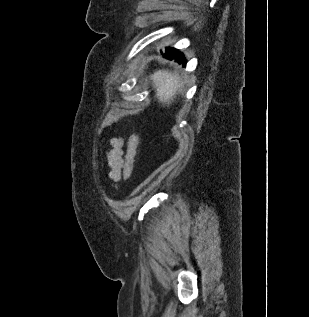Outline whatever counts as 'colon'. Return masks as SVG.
I'll return each instance as SVG.
<instances>
[{"label": "colon", "mask_w": 309, "mask_h": 317, "mask_svg": "<svg viewBox=\"0 0 309 317\" xmlns=\"http://www.w3.org/2000/svg\"><path fill=\"white\" fill-rule=\"evenodd\" d=\"M138 146H139V137L138 135L133 134L129 138V141H128L127 152H126L124 166H123V175L126 180H128L132 175Z\"/></svg>", "instance_id": "1"}]
</instances>
